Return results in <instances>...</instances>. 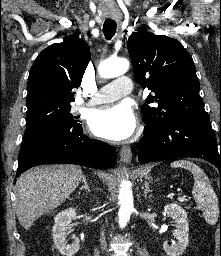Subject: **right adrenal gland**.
Segmentation results:
<instances>
[{"label":"right adrenal gland","instance_id":"obj_1","mask_svg":"<svg viewBox=\"0 0 221 256\" xmlns=\"http://www.w3.org/2000/svg\"><path fill=\"white\" fill-rule=\"evenodd\" d=\"M82 183H83V185L80 187V190L86 189L88 192H90L91 190L87 183L86 176H83Z\"/></svg>","mask_w":221,"mask_h":256}]
</instances>
